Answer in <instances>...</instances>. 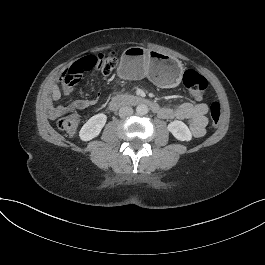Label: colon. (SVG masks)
Returning <instances> with one entry per match:
<instances>
[{
	"mask_svg": "<svg viewBox=\"0 0 265 265\" xmlns=\"http://www.w3.org/2000/svg\"><path fill=\"white\" fill-rule=\"evenodd\" d=\"M116 65L117 60L113 54L108 56L101 53L88 55L66 69L61 76V82L64 88H72L79 82L84 72L98 68L103 74L109 75L114 71ZM183 84L196 99L202 98L208 88L206 78L191 69L184 72ZM210 117L212 125L217 126L221 118V107L218 102L212 103ZM79 125L80 116L77 113H71L58 121L59 129L69 136H74L77 133Z\"/></svg>",
	"mask_w": 265,
	"mask_h": 265,
	"instance_id": "obj_1",
	"label": "colon"
}]
</instances>
